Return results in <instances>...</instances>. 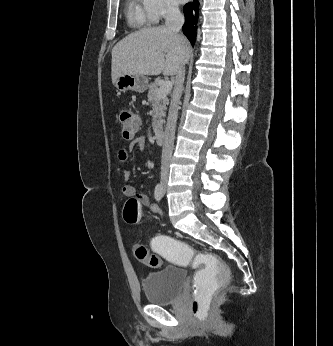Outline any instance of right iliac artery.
Here are the masks:
<instances>
[{"instance_id": "obj_1", "label": "right iliac artery", "mask_w": 333, "mask_h": 346, "mask_svg": "<svg viewBox=\"0 0 333 346\" xmlns=\"http://www.w3.org/2000/svg\"><path fill=\"white\" fill-rule=\"evenodd\" d=\"M154 196L157 201H160L163 197V186L162 183H158L154 190Z\"/></svg>"}]
</instances>
